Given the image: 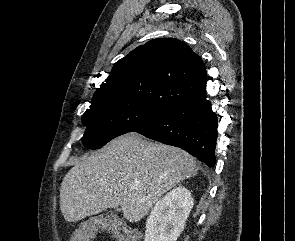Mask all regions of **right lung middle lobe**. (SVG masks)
<instances>
[{
    "instance_id": "obj_1",
    "label": "right lung middle lobe",
    "mask_w": 295,
    "mask_h": 241,
    "mask_svg": "<svg viewBox=\"0 0 295 241\" xmlns=\"http://www.w3.org/2000/svg\"><path fill=\"white\" fill-rule=\"evenodd\" d=\"M164 109L132 101L110 93L95 94L90 109L82 116L86 126L82 143L98 149L117 136L153 120Z\"/></svg>"
}]
</instances>
